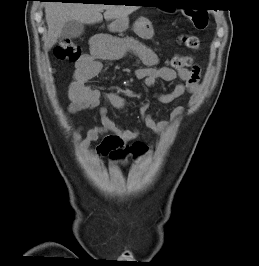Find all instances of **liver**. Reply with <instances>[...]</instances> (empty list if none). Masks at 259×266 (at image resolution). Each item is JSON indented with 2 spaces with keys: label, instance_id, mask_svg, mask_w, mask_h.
Wrapping results in <instances>:
<instances>
[{
  "label": "liver",
  "instance_id": "6515ba94",
  "mask_svg": "<svg viewBox=\"0 0 259 266\" xmlns=\"http://www.w3.org/2000/svg\"><path fill=\"white\" fill-rule=\"evenodd\" d=\"M137 9V6L49 2L45 5V18L48 26L45 49L49 50L53 47L61 35L62 28L69 21L75 20L83 24L98 23L103 19L104 10L106 20H117L127 18Z\"/></svg>",
  "mask_w": 259,
  "mask_h": 266
}]
</instances>
